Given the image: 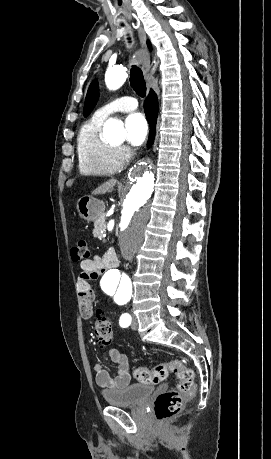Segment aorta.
Returning a JSON list of instances; mask_svg holds the SVG:
<instances>
[{"label":"aorta","mask_w":271,"mask_h":459,"mask_svg":"<svg viewBox=\"0 0 271 459\" xmlns=\"http://www.w3.org/2000/svg\"><path fill=\"white\" fill-rule=\"evenodd\" d=\"M127 78V70L118 65L109 68L105 74L108 89L120 88ZM106 137L119 139L124 130L120 122L109 119L103 128ZM153 163L149 159L137 162L128 173V183L119 201L121 218L119 245L122 256L133 258L143 242L148 221L152 217L151 195L154 191L155 176ZM102 290L113 295L116 292L129 293L132 290L130 278L115 267L109 268L101 278Z\"/></svg>","instance_id":"762f6f07"}]
</instances>
